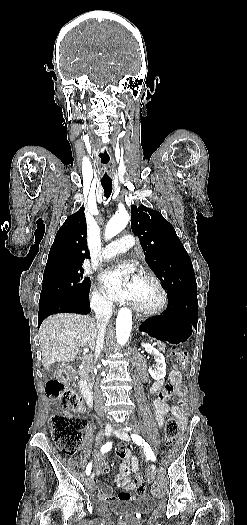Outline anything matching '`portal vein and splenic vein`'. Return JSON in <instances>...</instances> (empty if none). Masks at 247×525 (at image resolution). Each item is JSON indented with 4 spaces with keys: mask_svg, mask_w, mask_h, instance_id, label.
Returning a JSON list of instances; mask_svg holds the SVG:
<instances>
[{
    "mask_svg": "<svg viewBox=\"0 0 247 525\" xmlns=\"http://www.w3.org/2000/svg\"><path fill=\"white\" fill-rule=\"evenodd\" d=\"M152 346H157V343H152ZM83 351H85V353H89V349H86V347L83 349Z\"/></svg>",
    "mask_w": 247,
    "mask_h": 525,
    "instance_id": "1",
    "label": "portal vein and splenic vein"
}]
</instances>
